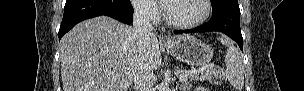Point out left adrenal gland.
Returning <instances> with one entry per match:
<instances>
[{"instance_id":"a2214340","label":"left adrenal gland","mask_w":304,"mask_h":91,"mask_svg":"<svg viewBox=\"0 0 304 91\" xmlns=\"http://www.w3.org/2000/svg\"><path fill=\"white\" fill-rule=\"evenodd\" d=\"M177 87H179V89L181 90V91H188L189 90V87H190V85L188 86V84H182V85H180L179 83H177Z\"/></svg>"}]
</instances>
